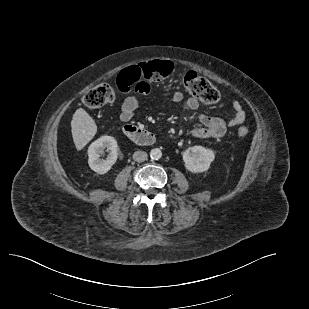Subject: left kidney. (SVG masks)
<instances>
[{"label":"left kidney","instance_id":"obj_1","mask_svg":"<svg viewBox=\"0 0 309 309\" xmlns=\"http://www.w3.org/2000/svg\"><path fill=\"white\" fill-rule=\"evenodd\" d=\"M182 155L185 168L192 173L207 171L215 159V153L203 146L189 147Z\"/></svg>","mask_w":309,"mask_h":309}]
</instances>
